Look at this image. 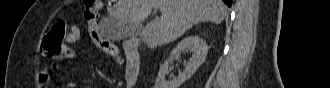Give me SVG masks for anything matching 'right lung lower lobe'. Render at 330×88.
I'll return each mask as SVG.
<instances>
[{
    "instance_id": "right-lung-lower-lobe-1",
    "label": "right lung lower lobe",
    "mask_w": 330,
    "mask_h": 88,
    "mask_svg": "<svg viewBox=\"0 0 330 88\" xmlns=\"http://www.w3.org/2000/svg\"><path fill=\"white\" fill-rule=\"evenodd\" d=\"M223 2L226 3L228 7H230L232 4V0H223Z\"/></svg>"
}]
</instances>
